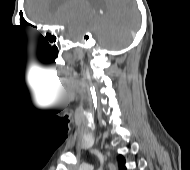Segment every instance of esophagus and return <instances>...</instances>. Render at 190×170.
I'll list each match as a JSON object with an SVG mask.
<instances>
[{"mask_svg": "<svg viewBox=\"0 0 190 170\" xmlns=\"http://www.w3.org/2000/svg\"><path fill=\"white\" fill-rule=\"evenodd\" d=\"M109 170H116L115 165L113 163L108 164Z\"/></svg>", "mask_w": 190, "mask_h": 170, "instance_id": "obj_1", "label": "esophagus"}]
</instances>
